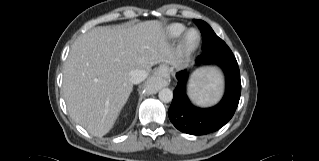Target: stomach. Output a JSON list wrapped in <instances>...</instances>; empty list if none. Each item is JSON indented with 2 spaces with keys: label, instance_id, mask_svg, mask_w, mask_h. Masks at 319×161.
I'll return each instance as SVG.
<instances>
[{
  "label": "stomach",
  "instance_id": "obj_1",
  "mask_svg": "<svg viewBox=\"0 0 319 161\" xmlns=\"http://www.w3.org/2000/svg\"><path fill=\"white\" fill-rule=\"evenodd\" d=\"M160 72L164 75V76H167L168 73H169V68L165 65L161 66L160 67Z\"/></svg>",
  "mask_w": 319,
  "mask_h": 161
}]
</instances>
